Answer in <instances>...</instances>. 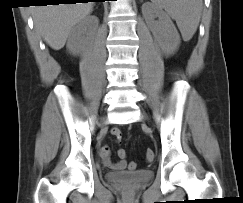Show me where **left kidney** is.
<instances>
[{
    "mask_svg": "<svg viewBox=\"0 0 243 203\" xmlns=\"http://www.w3.org/2000/svg\"><path fill=\"white\" fill-rule=\"evenodd\" d=\"M142 13L161 52L165 55L173 54L180 44V36L170 17L162 9L149 3L142 6Z\"/></svg>",
    "mask_w": 243,
    "mask_h": 203,
    "instance_id": "obj_1",
    "label": "left kidney"
}]
</instances>
